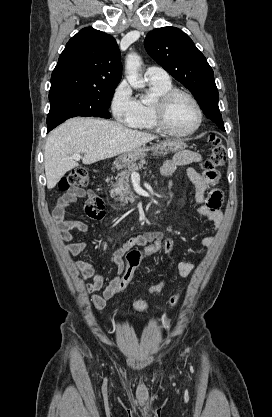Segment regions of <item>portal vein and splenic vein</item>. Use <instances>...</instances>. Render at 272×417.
Segmentation results:
<instances>
[{
  "label": "portal vein and splenic vein",
  "instance_id": "obj_1",
  "mask_svg": "<svg viewBox=\"0 0 272 417\" xmlns=\"http://www.w3.org/2000/svg\"><path fill=\"white\" fill-rule=\"evenodd\" d=\"M72 159H74V160H80L81 159V155L79 154V153H74L73 155H72ZM133 175H136L137 173L136 172H133L132 173Z\"/></svg>",
  "mask_w": 272,
  "mask_h": 417
}]
</instances>
